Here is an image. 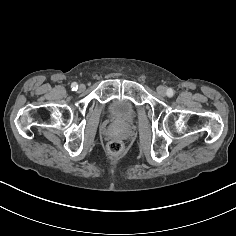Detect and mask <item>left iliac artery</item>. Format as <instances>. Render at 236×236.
Listing matches in <instances>:
<instances>
[{
  "label": "left iliac artery",
  "mask_w": 236,
  "mask_h": 236,
  "mask_svg": "<svg viewBox=\"0 0 236 236\" xmlns=\"http://www.w3.org/2000/svg\"><path fill=\"white\" fill-rule=\"evenodd\" d=\"M173 95H174L173 89H172V88H168V89H167V96H168V97H172Z\"/></svg>",
  "instance_id": "obj_1"
}]
</instances>
